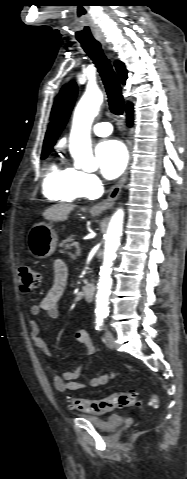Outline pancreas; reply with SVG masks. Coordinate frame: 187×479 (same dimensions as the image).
I'll return each instance as SVG.
<instances>
[{"mask_svg":"<svg viewBox=\"0 0 187 479\" xmlns=\"http://www.w3.org/2000/svg\"><path fill=\"white\" fill-rule=\"evenodd\" d=\"M75 244H78V242H75L74 236L71 235L68 238L64 239L59 246L68 250L71 248V246H75Z\"/></svg>","mask_w":187,"mask_h":479,"instance_id":"1","label":"pancreas"}]
</instances>
